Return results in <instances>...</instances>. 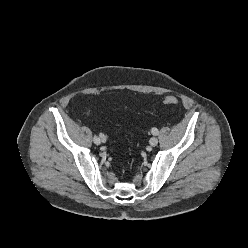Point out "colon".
Returning a JSON list of instances; mask_svg holds the SVG:
<instances>
[{"instance_id":"1","label":"colon","mask_w":248,"mask_h":248,"mask_svg":"<svg viewBox=\"0 0 248 248\" xmlns=\"http://www.w3.org/2000/svg\"><path fill=\"white\" fill-rule=\"evenodd\" d=\"M178 102V99L174 96H168L163 100V104L165 105H176Z\"/></svg>"}]
</instances>
